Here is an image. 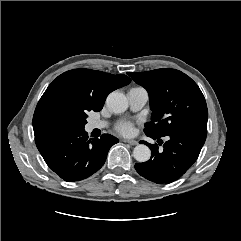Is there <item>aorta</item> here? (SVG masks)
<instances>
[{
  "instance_id": "762f6f07",
  "label": "aorta",
  "mask_w": 241,
  "mask_h": 241,
  "mask_svg": "<svg viewBox=\"0 0 241 241\" xmlns=\"http://www.w3.org/2000/svg\"><path fill=\"white\" fill-rule=\"evenodd\" d=\"M109 110L113 113L120 114L128 108V101L124 94L120 92H112L106 99ZM133 156L138 162H146L150 159L151 151L144 144L137 145L133 150Z\"/></svg>"
}]
</instances>
